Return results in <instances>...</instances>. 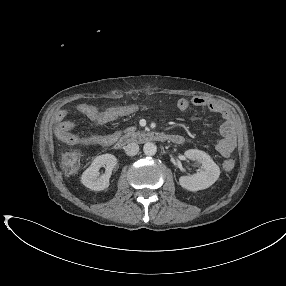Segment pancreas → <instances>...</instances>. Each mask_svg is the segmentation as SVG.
I'll use <instances>...</instances> for the list:
<instances>
[{"label": "pancreas", "mask_w": 286, "mask_h": 286, "mask_svg": "<svg viewBox=\"0 0 286 286\" xmlns=\"http://www.w3.org/2000/svg\"><path fill=\"white\" fill-rule=\"evenodd\" d=\"M135 131H136V127H128L125 130L126 137L131 136L133 133H135Z\"/></svg>", "instance_id": "cf45deb5"}]
</instances>
